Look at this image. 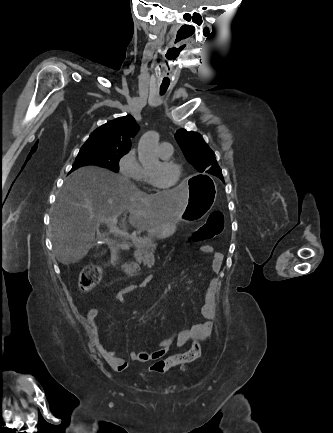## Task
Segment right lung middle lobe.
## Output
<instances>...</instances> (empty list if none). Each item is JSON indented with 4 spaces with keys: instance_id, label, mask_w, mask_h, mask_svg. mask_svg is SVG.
Instances as JSON below:
<instances>
[{
    "instance_id": "obj_1",
    "label": "right lung middle lobe",
    "mask_w": 333,
    "mask_h": 433,
    "mask_svg": "<svg viewBox=\"0 0 333 433\" xmlns=\"http://www.w3.org/2000/svg\"><path fill=\"white\" fill-rule=\"evenodd\" d=\"M128 151L116 148H107L92 144H84L73 164V168L84 165H99L118 171L119 160Z\"/></svg>"
}]
</instances>
